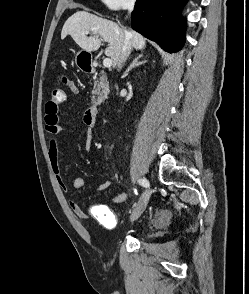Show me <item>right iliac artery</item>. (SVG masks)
I'll return each mask as SVG.
<instances>
[{
  "instance_id": "right-iliac-artery-1",
  "label": "right iliac artery",
  "mask_w": 249,
  "mask_h": 294,
  "mask_svg": "<svg viewBox=\"0 0 249 294\" xmlns=\"http://www.w3.org/2000/svg\"><path fill=\"white\" fill-rule=\"evenodd\" d=\"M138 182L143 187H146V188L149 187V182L146 179H140Z\"/></svg>"
}]
</instances>
